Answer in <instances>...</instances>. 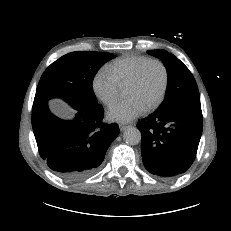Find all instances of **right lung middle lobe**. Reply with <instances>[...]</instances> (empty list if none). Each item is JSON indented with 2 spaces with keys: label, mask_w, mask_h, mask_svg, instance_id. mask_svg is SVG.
I'll use <instances>...</instances> for the list:
<instances>
[{
  "label": "right lung middle lobe",
  "mask_w": 231,
  "mask_h": 231,
  "mask_svg": "<svg viewBox=\"0 0 231 231\" xmlns=\"http://www.w3.org/2000/svg\"><path fill=\"white\" fill-rule=\"evenodd\" d=\"M115 56L111 53L76 51L52 63L39 81L35 100L61 98L73 108L97 105L92 82L97 71Z\"/></svg>",
  "instance_id": "right-lung-middle-lobe-1"
}]
</instances>
